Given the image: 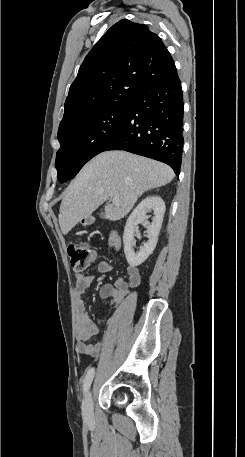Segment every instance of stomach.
Here are the masks:
<instances>
[{
  "mask_svg": "<svg viewBox=\"0 0 245 457\" xmlns=\"http://www.w3.org/2000/svg\"><path fill=\"white\" fill-rule=\"evenodd\" d=\"M81 222H83V224H89V222H91V218H89V216H86V218H83Z\"/></svg>",
  "mask_w": 245,
  "mask_h": 457,
  "instance_id": "stomach-1",
  "label": "stomach"
}]
</instances>
